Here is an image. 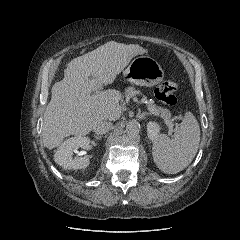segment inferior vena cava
Wrapping results in <instances>:
<instances>
[{
  "label": "inferior vena cava",
  "mask_w": 240,
  "mask_h": 240,
  "mask_svg": "<svg viewBox=\"0 0 240 240\" xmlns=\"http://www.w3.org/2000/svg\"><path fill=\"white\" fill-rule=\"evenodd\" d=\"M111 128H112V123L111 122L99 121L93 127V131L97 135H103V134H106L107 132H109L111 130Z\"/></svg>",
  "instance_id": "inferior-vena-cava-1"
}]
</instances>
